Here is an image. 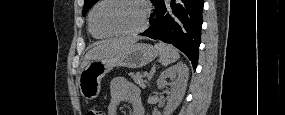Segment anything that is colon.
Returning <instances> with one entry per match:
<instances>
[{
  "label": "colon",
  "mask_w": 285,
  "mask_h": 115,
  "mask_svg": "<svg viewBox=\"0 0 285 115\" xmlns=\"http://www.w3.org/2000/svg\"><path fill=\"white\" fill-rule=\"evenodd\" d=\"M87 115H102L103 112L96 107H89L86 111Z\"/></svg>",
  "instance_id": "5ec220e1"
}]
</instances>
